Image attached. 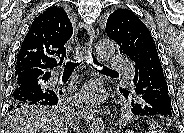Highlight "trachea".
I'll list each match as a JSON object with an SVG mask.
<instances>
[{"label":"trachea","instance_id":"3493384b","mask_svg":"<svg viewBox=\"0 0 184 133\" xmlns=\"http://www.w3.org/2000/svg\"><path fill=\"white\" fill-rule=\"evenodd\" d=\"M92 62H91V65L93 66V64L96 66V67H100L101 68V71H104V72H117V71H115V70H112V69H109V68H106V67H102L101 65H100V63L93 57V55H92ZM77 65H79V63L78 62H72V61H68L67 62V67H69V68H72V67H75V66H77Z\"/></svg>","mask_w":184,"mask_h":133}]
</instances>
